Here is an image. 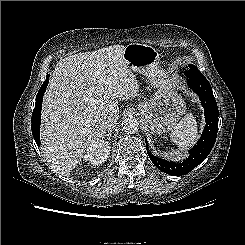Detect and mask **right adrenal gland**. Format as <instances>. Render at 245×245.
Instances as JSON below:
<instances>
[{
	"mask_svg": "<svg viewBox=\"0 0 245 245\" xmlns=\"http://www.w3.org/2000/svg\"><path fill=\"white\" fill-rule=\"evenodd\" d=\"M111 136H112V130L108 131V133L105 135V137H108V140H110Z\"/></svg>",
	"mask_w": 245,
	"mask_h": 245,
	"instance_id": "right-adrenal-gland-1",
	"label": "right adrenal gland"
}]
</instances>
